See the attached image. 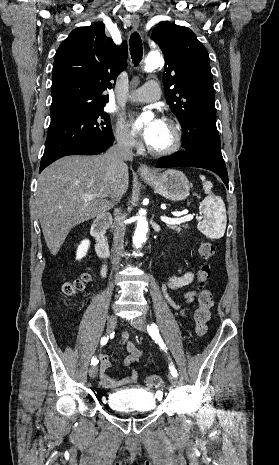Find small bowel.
<instances>
[{
    "label": "small bowel",
    "mask_w": 279,
    "mask_h": 465,
    "mask_svg": "<svg viewBox=\"0 0 279 465\" xmlns=\"http://www.w3.org/2000/svg\"><path fill=\"white\" fill-rule=\"evenodd\" d=\"M195 279V273L193 271L180 270L177 274H172L168 277L166 286L172 290H179L184 287L190 286ZM195 299V292L189 291L182 296V302L176 303L170 298L168 301L170 305L175 309H180V314L183 318H186L189 309L183 308V303H190ZM119 344L126 349V356L123 359V366L130 368L132 365L139 362L142 357V350L136 347V345L129 340L127 334H123L119 340ZM100 362V384L105 388H117L130 383H133L137 379V372L131 370L129 374L121 379H113L107 374V370L111 367V360L108 354L100 353L98 355Z\"/></svg>",
    "instance_id": "1"
}]
</instances>
